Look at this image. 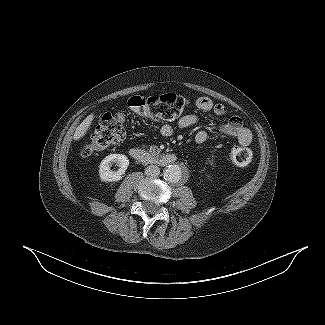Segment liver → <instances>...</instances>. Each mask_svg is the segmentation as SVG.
I'll list each match as a JSON object with an SVG mask.
<instances>
[{
	"label": "liver",
	"mask_w": 325,
	"mask_h": 325,
	"mask_svg": "<svg viewBox=\"0 0 325 325\" xmlns=\"http://www.w3.org/2000/svg\"><path fill=\"white\" fill-rule=\"evenodd\" d=\"M93 119H94V114L92 113L89 116H87L84 119V121L76 128V131L73 136L75 141H78L85 136V134L87 133V131L91 126Z\"/></svg>",
	"instance_id": "obj_1"
}]
</instances>
